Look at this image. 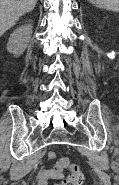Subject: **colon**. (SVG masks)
<instances>
[{
  "label": "colon",
  "instance_id": "1",
  "mask_svg": "<svg viewBox=\"0 0 119 185\" xmlns=\"http://www.w3.org/2000/svg\"><path fill=\"white\" fill-rule=\"evenodd\" d=\"M58 163L61 168L68 169L70 173L58 185H81L83 182V174L80 168L72 163L66 156L59 158Z\"/></svg>",
  "mask_w": 119,
  "mask_h": 185
}]
</instances>
